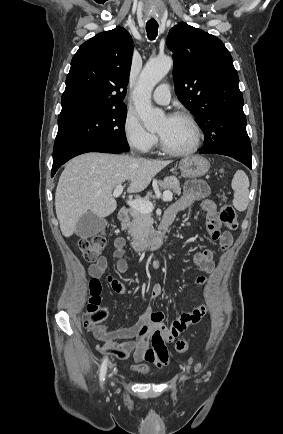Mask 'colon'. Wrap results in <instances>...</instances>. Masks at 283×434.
<instances>
[{
  "label": "colon",
  "instance_id": "colon-1",
  "mask_svg": "<svg viewBox=\"0 0 283 434\" xmlns=\"http://www.w3.org/2000/svg\"><path fill=\"white\" fill-rule=\"evenodd\" d=\"M219 218L230 230L237 228V213L229 203H223L219 211ZM77 246L84 259L89 262L96 261L106 246V238L103 233L79 239ZM90 297L84 315V325L89 328L100 326L107 318V311L100 305L101 284L98 279L92 278L89 281ZM189 347V340L181 339L175 344L178 353L185 352Z\"/></svg>",
  "mask_w": 283,
  "mask_h": 434
}]
</instances>
